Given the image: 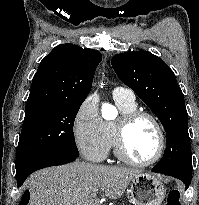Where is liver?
Returning <instances> with one entry per match:
<instances>
[{
    "instance_id": "obj_1",
    "label": "liver",
    "mask_w": 199,
    "mask_h": 205,
    "mask_svg": "<svg viewBox=\"0 0 199 205\" xmlns=\"http://www.w3.org/2000/svg\"><path fill=\"white\" fill-rule=\"evenodd\" d=\"M141 170L75 161L45 168L27 180L29 205H99L93 193L120 198Z\"/></svg>"
}]
</instances>
